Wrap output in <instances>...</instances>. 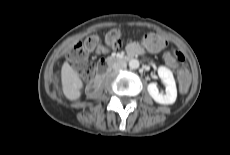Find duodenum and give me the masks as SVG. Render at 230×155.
<instances>
[{
    "instance_id": "obj_1",
    "label": "duodenum",
    "mask_w": 230,
    "mask_h": 155,
    "mask_svg": "<svg viewBox=\"0 0 230 155\" xmlns=\"http://www.w3.org/2000/svg\"><path fill=\"white\" fill-rule=\"evenodd\" d=\"M136 55L137 54L135 52L128 51L126 55L106 57L99 65V75H102L112 64L120 61H127ZM90 89H93V86H91Z\"/></svg>"
}]
</instances>
